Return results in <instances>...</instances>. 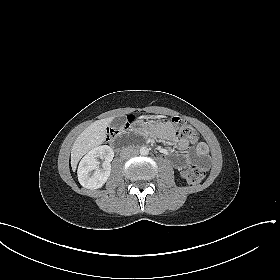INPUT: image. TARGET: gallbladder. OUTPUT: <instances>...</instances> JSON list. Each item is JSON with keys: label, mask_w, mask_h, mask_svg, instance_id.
Returning a JSON list of instances; mask_svg holds the SVG:
<instances>
[{"label": "gallbladder", "mask_w": 280, "mask_h": 280, "mask_svg": "<svg viewBox=\"0 0 280 280\" xmlns=\"http://www.w3.org/2000/svg\"><path fill=\"white\" fill-rule=\"evenodd\" d=\"M127 120L125 116L116 117L112 122L111 126L113 128H121L126 124Z\"/></svg>", "instance_id": "obj_1"}]
</instances>
